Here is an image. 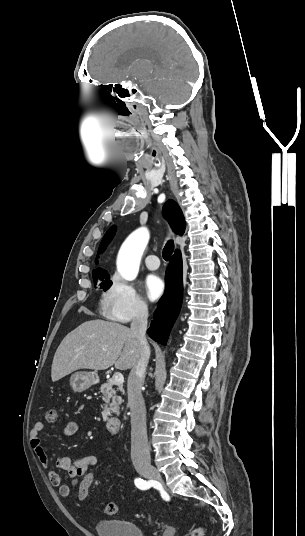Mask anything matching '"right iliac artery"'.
Wrapping results in <instances>:
<instances>
[{
	"mask_svg": "<svg viewBox=\"0 0 305 536\" xmlns=\"http://www.w3.org/2000/svg\"><path fill=\"white\" fill-rule=\"evenodd\" d=\"M134 482H135V485L141 490H147V489H149L151 487L149 482H147V481H145V480H143L141 478L135 479Z\"/></svg>",
	"mask_w": 305,
	"mask_h": 536,
	"instance_id": "1",
	"label": "right iliac artery"
}]
</instances>
